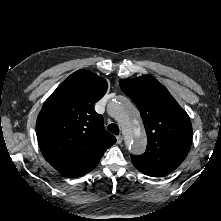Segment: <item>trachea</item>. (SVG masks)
<instances>
[{"mask_svg": "<svg viewBox=\"0 0 221 221\" xmlns=\"http://www.w3.org/2000/svg\"><path fill=\"white\" fill-rule=\"evenodd\" d=\"M107 130L114 135H119V127L116 124L108 125Z\"/></svg>", "mask_w": 221, "mask_h": 221, "instance_id": "trachea-1", "label": "trachea"}]
</instances>
